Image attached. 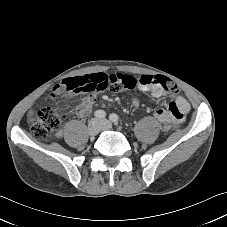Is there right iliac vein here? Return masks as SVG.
I'll return each instance as SVG.
<instances>
[{
    "mask_svg": "<svg viewBox=\"0 0 227 227\" xmlns=\"http://www.w3.org/2000/svg\"><path fill=\"white\" fill-rule=\"evenodd\" d=\"M101 129L100 122L97 119H92L88 124V134L90 136H96Z\"/></svg>",
    "mask_w": 227,
    "mask_h": 227,
    "instance_id": "right-iliac-vein-1",
    "label": "right iliac vein"
}]
</instances>
